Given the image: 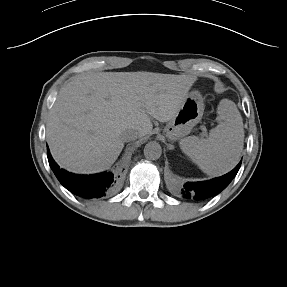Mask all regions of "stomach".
<instances>
[{
  "mask_svg": "<svg viewBox=\"0 0 287 287\" xmlns=\"http://www.w3.org/2000/svg\"><path fill=\"white\" fill-rule=\"evenodd\" d=\"M204 112V103L201 95L193 91L183 102L179 112L164 128L166 137L172 141L188 135L191 129L200 122Z\"/></svg>",
  "mask_w": 287,
  "mask_h": 287,
  "instance_id": "0dacf381",
  "label": "stomach"
}]
</instances>
